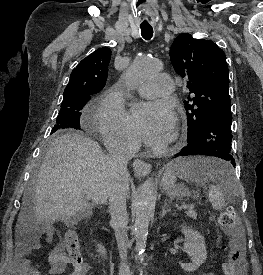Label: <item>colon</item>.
<instances>
[{
  "label": "colon",
  "mask_w": 263,
  "mask_h": 275,
  "mask_svg": "<svg viewBox=\"0 0 263 275\" xmlns=\"http://www.w3.org/2000/svg\"><path fill=\"white\" fill-rule=\"evenodd\" d=\"M217 220L229 238V243L226 247L228 259L223 266L224 273L225 275H244L245 263L241 250L242 239L235 212L227 209L218 215ZM63 243L71 264L75 266L83 265L77 234L72 230L66 232ZM208 274L209 273H204L203 275Z\"/></svg>",
  "instance_id": "1"
}]
</instances>
